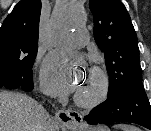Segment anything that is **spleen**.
<instances>
[{
    "mask_svg": "<svg viewBox=\"0 0 151 131\" xmlns=\"http://www.w3.org/2000/svg\"><path fill=\"white\" fill-rule=\"evenodd\" d=\"M117 129H120L122 131H140L138 128L134 127V126H130V125H116L115 126Z\"/></svg>",
    "mask_w": 151,
    "mask_h": 131,
    "instance_id": "3e777b00",
    "label": "spleen"
}]
</instances>
